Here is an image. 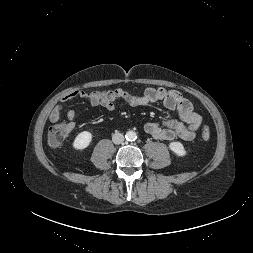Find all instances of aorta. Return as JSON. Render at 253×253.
I'll return each instance as SVG.
<instances>
[{
  "instance_id": "762f6f07",
  "label": "aorta",
  "mask_w": 253,
  "mask_h": 253,
  "mask_svg": "<svg viewBox=\"0 0 253 253\" xmlns=\"http://www.w3.org/2000/svg\"><path fill=\"white\" fill-rule=\"evenodd\" d=\"M126 140L128 141H134L137 138V134L135 131H128L125 135Z\"/></svg>"
}]
</instances>
